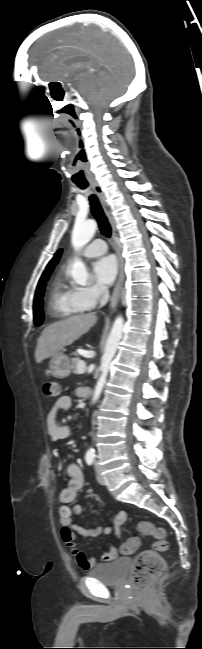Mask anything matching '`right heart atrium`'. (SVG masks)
Here are the masks:
<instances>
[{"label":"right heart atrium","mask_w":202,"mask_h":649,"mask_svg":"<svg viewBox=\"0 0 202 649\" xmlns=\"http://www.w3.org/2000/svg\"><path fill=\"white\" fill-rule=\"evenodd\" d=\"M106 296V289L99 285L79 288L77 299L85 309L94 308Z\"/></svg>","instance_id":"1"}]
</instances>
